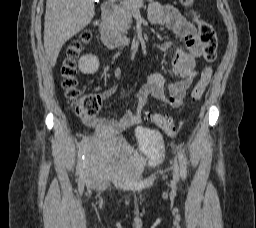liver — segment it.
<instances>
[{
  "label": "liver",
  "instance_id": "6515ba94",
  "mask_svg": "<svg viewBox=\"0 0 256 228\" xmlns=\"http://www.w3.org/2000/svg\"><path fill=\"white\" fill-rule=\"evenodd\" d=\"M95 15L94 0H47L44 47L51 66L67 40L85 28Z\"/></svg>",
  "mask_w": 256,
  "mask_h": 228
}]
</instances>
